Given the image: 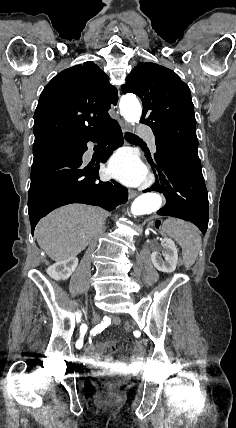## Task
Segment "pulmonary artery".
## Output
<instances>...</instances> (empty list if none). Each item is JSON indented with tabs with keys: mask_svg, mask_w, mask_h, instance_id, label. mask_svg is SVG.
<instances>
[{
	"mask_svg": "<svg viewBox=\"0 0 236 428\" xmlns=\"http://www.w3.org/2000/svg\"><path fill=\"white\" fill-rule=\"evenodd\" d=\"M148 142L150 145L155 146V136L148 137Z\"/></svg>",
	"mask_w": 236,
	"mask_h": 428,
	"instance_id": "obj_1",
	"label": "pulmonary artery"
}]
</instances>
